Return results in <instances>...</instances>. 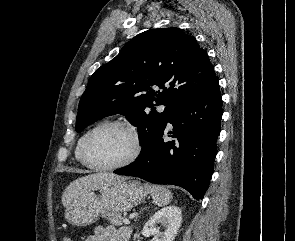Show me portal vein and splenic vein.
I'll use <instances>...</instances> for the list:
<instances>
[{
	"label": "portal vein and splenic vein",
	"mask_w": 295,
	"mask_h": 241,
	"mask_svg": "<svg viewBox=\"0 0 295 241\" xmlns=\"http://www.w3.org/2000/svg\"><path fill=\"white\" fill-rule=\"evenodd\" d=\"M123 223H124V224H130V221H129V219L124 218Z\"/></svg>",
	"instance_id": "portal-vein-and-splenic-vein-1"
}]
</instances>
